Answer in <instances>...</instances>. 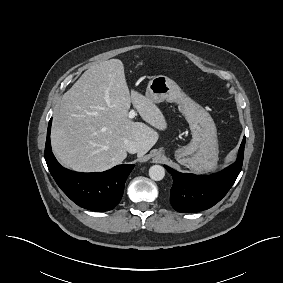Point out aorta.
Returning a JSON list of instances; mask_svg holds the SVG:
<instances>
[{
    "label": "aorta",
    "instance_id": "762f6f07",
    "mask_svg": "<svg viewBox=\"0 0 283 283\" xmlns=\"http://www.w3.org/2000/svg\"><path fill=\"white\" fill-rule=\"evenodd\" d=\"M149 176L154 181H160L165 176V169L160 165H153L149 169Z\"/></svg>",
    "mask_w": 283,
    "mask_h": 283
}]
</instances>
